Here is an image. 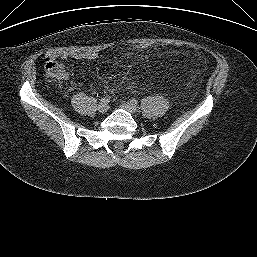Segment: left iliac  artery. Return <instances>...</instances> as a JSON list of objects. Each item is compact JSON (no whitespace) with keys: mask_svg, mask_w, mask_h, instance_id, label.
I'll list each match as a JSON object with an SVG mask.
<instances>
[{"mask_svg":"<svg viewBox=\"0 0 257 257\" xmlns=\"http://www.w3.org/2000/svg\"><path fill=\"white\" fill-rule=\"evenodd\" d=\"M133 105L137 106L138 105V101L136 99H131L130 101Z\"/></svg>","mask_w":257,"mask_h":257,"instance_id":"44dca946","label":"left iliac artery"}]
</instances>
